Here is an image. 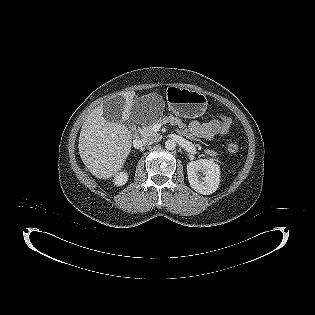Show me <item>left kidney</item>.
Wrapping results in <instances>:
<instances>
[{"label":"left kidney","mask_w":315,"mask_h":315,"mask_svg":"<svg viewBox=\"0 0 315 315\" xmlns=\"http://www.w3.org/2000/svg\"><path fill=\"white\" fill-rule=\"evenodd\" d=\"M187 174L190 186L203 195L215 192L220 183V167L212 160L200 159L189 162Z\"/></svg>","instance_id":"left-kidney-1"}]
</instances>
